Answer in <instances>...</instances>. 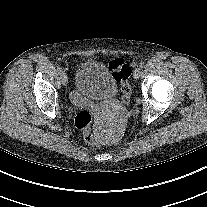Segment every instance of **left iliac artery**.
<instances>
[{
	"label": "left iliac artery",
	"instance_id": "44dca946",
	"mask_svg": "<svg viewBox=\"0 0 207 207\" xmlns=\"http://www.w3.org/2000/svg\"><path fill=\"white\" fill-rule=\"evenodd\" d=\"M139 66H140V68H144L145 67V63L141 62Z\"/></svg>",
	"mask_w": 207,
	"mask_h": 207
}]
</instances>
